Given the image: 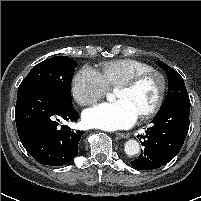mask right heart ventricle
I'll return each mask as SVG.
<instances>
[{"mask_svg":"<svg viewBox=\"0 0 201 201\" xmlns=\"http://www.w3.org/2000/svg\"><path fill=\"white\" fill-rule=\"evenodd\" d=\"M152 67L134 59H117L105 62L100 67V73L109 87H117L122 81Z\"/></svg>","mask_w":201,"mask_h":201,"instance_id":"right-heart-ventricle-1","label":"right heart ventricle"}]
</instances>
